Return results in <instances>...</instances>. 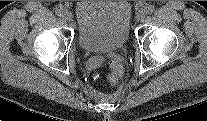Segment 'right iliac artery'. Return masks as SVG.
Returning <instances> with one entry per match:
<instances>
[{
	"instance_id": "82829eb1",
	"label": "right iliac artery",
	"mask_w": 207,
	"mask_h": 121,
	"mask_svg": "<svg viewBox=\"0 0 207 121\" xmlns=\"http://www.w3.org/2000/svg\"><path fill=\"white\" fill-rule=\"evenodd\" d=\"M55 13L58 15V16H63V13H64V9L63 7H57L55 9Z\"/></svg>"
}]
</instances>
